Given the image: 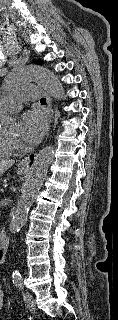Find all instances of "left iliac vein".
Wrapping results in <instances>:
<instances>
[{
  "label": "left iliac vein",
  "instance_id": "obj_1",
  "mask_svg": "<svg viewBox=\"0 0 118 320\" xmlns=\"http://www.w3.org/2000/svg\"><path fill=\"white\" fill-rule=\"evenodd\" d=\"M24 302L28 309L35 310L36 303L33 296L30 293L28 292L24 293Z\"/></svg>",
  "mask_w": 118,
  "mask_h": 320
}]
</instances>
